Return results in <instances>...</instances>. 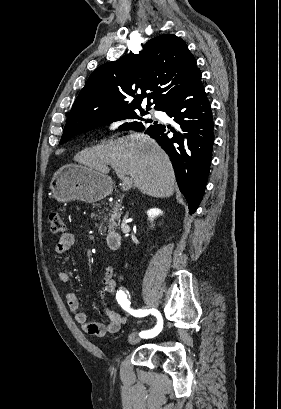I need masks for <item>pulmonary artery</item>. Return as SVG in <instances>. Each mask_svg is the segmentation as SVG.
Returning <instances> with one entry per match:
<instances>
[{
	"mask_svg": "<svg viewBox=\"0 0 281 409\" xmlns=\"http://www.w3.org/2000/svg\"><path fill=\"white\" fill-rule=\"evenodd\" d=\"M152 114L156 117V118H161L163 116V114L161 112L158 111H152Z\"/></svg>",
	"mask_w": 281,
	"mask_h": 409,
	"instance_id": "1",
	"label": "pulmonary artery"
}]
</instances>
